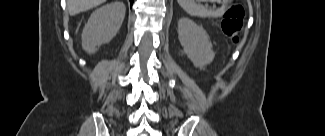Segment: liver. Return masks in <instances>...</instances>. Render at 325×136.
<instances>
[{"label": "liver", "instance_id": "liver-1", "mask_svg": "<svg viewBox=\"0 0 325 136\" xmlns=\"http://www.w3.org/2000/svg\"><path fill=\"white\" fill-rule=\"evenodd\" d=\"M106 0H67V9L70 15L92 9L101 5Z\"/></svg>", "mask_w": 325, "mask_h": 136}]
</instances>
